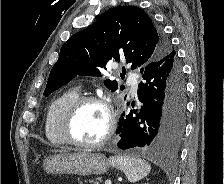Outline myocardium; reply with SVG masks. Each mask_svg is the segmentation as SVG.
Listing matches in <instances>:
<instances>
[{"instance_id":"1","label":"myocardium","mask_w":224,"mask_h":184,"mask_svg":"<svg viewBox=\"0 0 224 184\" xmlns=\"http://www.w3.org/2000/svg\"><path fill=\"white\" fill-rule=\"evenodd\" d=\"M88 103L101 105L106 110L108 116L105 135L100 140L92 143L78 141L73 134V123L75 117L81 107ZM116 123V112L107 98L95 95H81L78 96L65 111L62 123V132L67 143L82 149H95L103 146L112 138L116 129Z\"/></svg>"}]
</instances>
